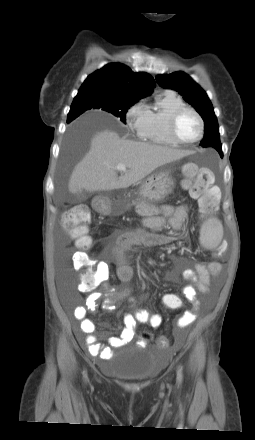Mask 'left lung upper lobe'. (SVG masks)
Wrapping results in <instances>:
<instances>
[{"label": "left lung upper lobe", "instance_id": "obj_1", "mask_svg": "<svg viewBox=\"0 0 255 440\" xmlns=\"http://www.w3.org/2000/svg\"><path fill=\"white\" fill-rule=\"evenodd\" d=\"M156 81L163 88H169L179 92L185 101L196 108L197 112L203 118L205 125V135L201 141V146L214 147L220 156L223 157L217 118L206 92L183 72L158 75Z\"/></svg>", "mask_w": 255, "mask_h": 440}]
</instances>
